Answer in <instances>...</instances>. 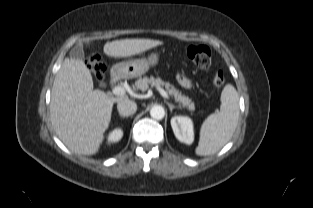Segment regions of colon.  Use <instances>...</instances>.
I'll list each match as a JSON object with an SVG mask.
<instances>
[{"label":"colon","mask_w":313,"mask_h":208,"mask_svg":"<svg viewBox=\"0 0 313 208\" xmlns=\"http://www.w3.org/2000/svg\"><path fill=\"white\" fill-rule=\"evenodd\" d=\"M187 57L200 69H208L211 66L212 55L210 49L205 45H191L186 49ZM89 67L96 78L101 79L105 73V66L100 57L91 54L87 58ZM213 82L220 87L225 83V75L222 71H216Z\"/></svg>","instance_id":"5ec220e1"}]
</instances>
